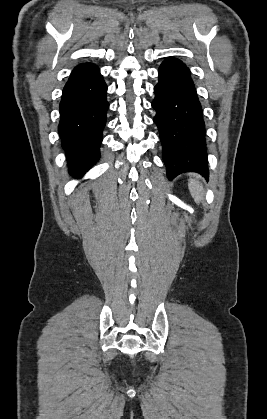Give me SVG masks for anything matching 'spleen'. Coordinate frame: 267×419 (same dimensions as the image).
Masks as SVG:
<instances>
[{
    "label": "spleen",
    "mask_w": 267,
    "mask_h": 419,
    "mask_svg": "<svg viewBox=\"0 0 267 419\" xmlns=\"http://www.w3.org/2000/svg\"><path fill=\"white\" fill-rule=\"evenodd\" d=\"M188 187L195 202L200 203L204 197V190L201 183L195 178H190Z\"/></svg>",
    "instance_id": "1"
}]
</instances>
